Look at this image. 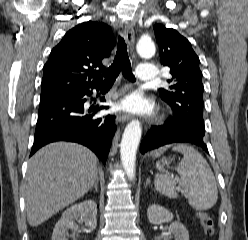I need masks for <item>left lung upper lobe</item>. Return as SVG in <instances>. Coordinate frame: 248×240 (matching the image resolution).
Instances as JSON below:
<instances>
[{
    "label": "left lung upper lobe",
    "instance_id": "left-lung-upper-lobe-1",
    "mask_svg": "<svg viewBox=\"0 0 248 240\" xmlns=\"http://www.w3.org/2000/svg\"><path fill=\"white\" fill-rule=\"evenodd\" d=\"M153 28L159 45L161 64L169 66L172 75V79L167 80L170 86L160 89L161 98L173 110L170 120L176 123H194L205 132L204 87L199 58L190 42L176 30L162 24H155Z\"/></svg>",
    "mask_w": 248,
    "mask_h": 240
}]
</instances>
